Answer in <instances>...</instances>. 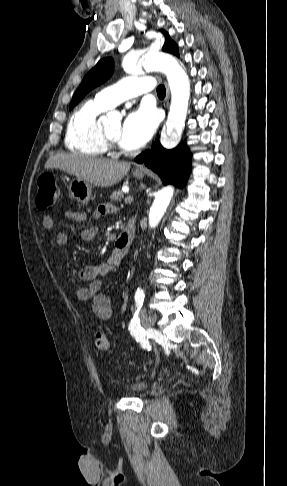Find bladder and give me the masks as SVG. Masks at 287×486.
<instances>
[{"instance_id":"bladder-1","label":"bladder","mask_w":287,"mask_h":486,"mask_svg":"<svg viewBox=\"0 0 287 486\" xmlns=\"http://www.w3.org/2000/svg\"><path fill=\"white\" fill-rule=\"evenodd\" d=\"M146 388L147 382L145 381H135L125 385V389L134 394L142 393Z\"/></svg>"}]
</instances>
